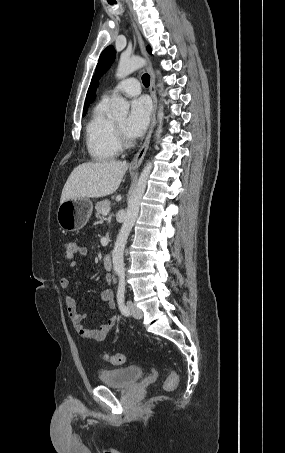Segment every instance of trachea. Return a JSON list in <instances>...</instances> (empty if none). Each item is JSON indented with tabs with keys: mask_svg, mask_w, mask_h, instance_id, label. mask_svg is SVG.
<instances>
[{
	"mask_svg": "<svg viewBox=\"0 0 285 453\" xmlns=\"http://www.w3.org/2000/svg\"><path fill=\"white\" fill-rule=\"evenodd\" d=\"M110 4H112V2H110ZM142 82H143L144 86H146V87H148L150 85V76L147 73L143 74Z\"/></svg>",
	"mask_w": 285,
	"mask_h": 453,
	"instance_id": "3493384b",
	"label": "trachea"
}]
</instances>
